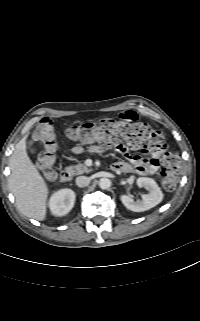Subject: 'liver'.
I'll use <instances>...</instances> for the list:
<instances>
[{
  "label": "liver",
  "mask_w": 200,
  "mask_h": 321,
  "mask_svg": "<svg viewBox=\"0 0 200 321\" xmlns=\"http://www.w3.org/2000/svg\"><path fill=\"white\" fill-rule=\"evenodd\" d=\"M27 135L15 146L9 159L11 174L8 185L17 209L23 215L42 221L46 218L47 184L26 152Z\"/></svg>",
  "instance_id": "obj_1"
}]
</instances>
